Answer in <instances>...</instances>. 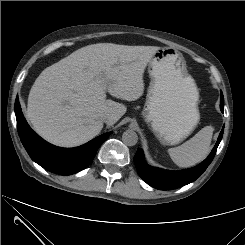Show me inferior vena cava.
<instances>
[{"mask_svg": "<svg viewBox=\"0 0 245 245\" xmlns=\"http://www.w3.org/2000/svg\"><path fill=\"white\" fill-rule=\"evenodd\" d=\"M103 122H105V123H107L108 122V120H109V118L107 117V116H104V117H102V119H101Z\"/></svg>", "mask_w": 245, "mask_h": 245, "instance_id": "1", "label": "inferior vena cava"}]
</instances>
